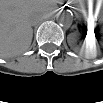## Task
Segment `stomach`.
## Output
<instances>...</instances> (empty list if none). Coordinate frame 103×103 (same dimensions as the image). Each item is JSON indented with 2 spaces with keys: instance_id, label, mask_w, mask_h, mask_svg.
<instances>
[{
  "instance_id": "1",
  "label": "stomach",
  "mask_w": 103,
  "mask_h": 103,
  "mask_svg": "<svg viewBox=\"0 0 103 103\" xmlns=\"http://www.w3.org/2000/svg\"><path fill=\"white\" fill-rule=\"evenodd\" d=\"M102 4L98 1H85L84 3H78V6L81 8L85 6L88 11H92L94 13L100 12Z\"/></svg>"
}]
</instances>
